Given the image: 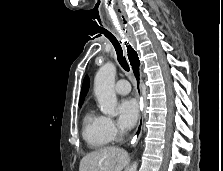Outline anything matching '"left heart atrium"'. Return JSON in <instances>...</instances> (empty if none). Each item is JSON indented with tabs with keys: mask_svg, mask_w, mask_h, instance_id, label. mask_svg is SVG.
Masks as SVG:
<instances>
[{
	"mask_svg": "<svg viewBox=\"0 0 223 171\" xmlns=\"http://www.w3.org/2000/svg\"><path fill=\"white\" fill-rule=\"evenodd\" d=\"M139 116V105L133 98H126L118 105V121L121 127L131 128Z\"/></svg>",
	"mask_w": 223,
	"mask_h": 171,
	"instance_id": "obj_1",
	"label": "left heart atrium"
}]
</instances>
